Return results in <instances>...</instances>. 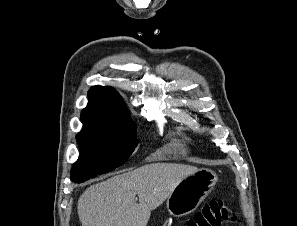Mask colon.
I'll list each match as a JSON object with an SVG mask.
<instances>
[{
	"label": "colon",
	"instance_id": "colon-1",
	"mask_svg": "<svg viewBox=\"0 0 297 226\" xmlns=\"http://www.w3.org/2000/svg\"><path fill=\"white\" fill-rule=\"evenodd\" d=\"M228 220H235L230 209L221 200H211L195 213L185 226H220Z\"/></svg>",
	"mask_w": 297,
	"mask_h": 226
}]
</instances>
